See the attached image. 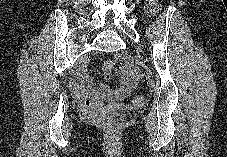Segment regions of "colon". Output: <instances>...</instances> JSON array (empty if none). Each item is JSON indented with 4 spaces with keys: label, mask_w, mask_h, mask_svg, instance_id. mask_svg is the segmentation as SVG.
Returning a JSON list of instances; mask_svg holds the SVG:
<instances>
[{
    "label": "colon",
    "mask_w": 227,
    "mask_h": 157,
    "mask_svg": "<svg viewBox=\"0 0 227 157\" xmlns=\"http://www.w3.org/2000/svg\"><path fill=\"white\" fill-rule=\"evenodd\" d=\"M147 1V12L150 15H155L160 10V2L159 0H146ZM147 103V98L144 95H137L132 99V104L135 107H142ZM122 115H127L128 110L126 108H122L120 110ZM109 122L114 125L116 123L115 119H110Z\"/></svg>",
    "instance_id": "5ec220e1"
}]
</instances>
